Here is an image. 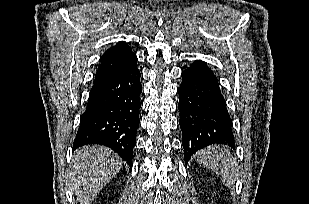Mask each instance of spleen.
<instances>
[{"mask_svg":"<svg viewBox=\"0 0 309 204\" xmlns=\"http://www.w3.org/2000/svg\"><path fill=\"white\" fill-rule=\"evenodd\" d=\"M195 158L199 164L212 169L229 187L233 186L238 178L237 165L225 147L210 146L199 151Z\"/></svg>","mask_w":309,"mask_h":204,"instance_id":"3e777b00","label":"spleen"}]
</instances>
